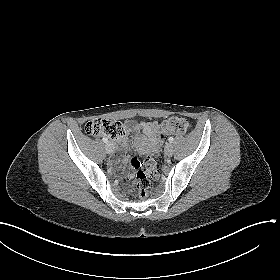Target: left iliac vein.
I'll use <instances>...</instances> for the list:
<instances>
[{"label": "left iliac vein", "instance_id": "4c4485c4", "mask_svg": "<svg viewBox=\"0 0 280 280\" xmlns=\"http://www.w3.org/2000/svg\"><path fill=\"white\" fill-rule=\"evenodd\" d=\"M165 155L171 157L173 155V146L171 143L166 144L165 146Z\"/></svg>", "mask_w": 280, "mask_h": 280}]
</instances>
